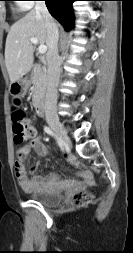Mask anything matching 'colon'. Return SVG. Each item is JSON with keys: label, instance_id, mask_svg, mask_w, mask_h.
<instances>
[{"label": "colon", "instance_id": "1", "mask_svg": "<svg viewBox=\"0 0 133 253\" xmlns=\"http://www.w3.org/2000/svg\"><path fill=\"white\" fill-rule=\"evenodd\" d=\"M11 118L13 123L15 143L19 144L30 140L34 135L35 130L27 119L25 111L21 109L18 104L13 105ZM69 160L74 161L72 157H69ZM91 198V194L87 191H84L75 195L72 203L76 206H80L89 202Z\"/></svg>", "mask_w": 133, "mask_h": 253}]
</instances>
